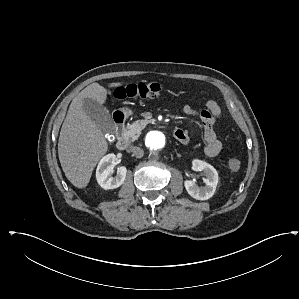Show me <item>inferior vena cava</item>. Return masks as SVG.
Wrapping results in <instances>:
<instances>
[{"label":"inferior vena cava","mask_w":299,"mask_h":299,"mask_svg":"<svg viewBox=\"0 0 299 299\" xmlns=\"http://www.w3.org/2000/svg\"><path fill=\"white\" fill-rule=\"evenodd\" d=\"M129 152H132V154L137 158H141L144 155L143 149L137 146H131L129 148Z\"/></svg>","instance_id":"obj_1"}]
</instances>
